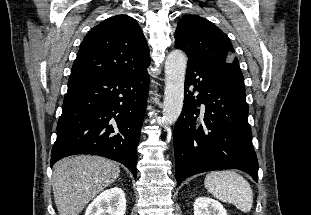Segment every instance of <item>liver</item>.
Returning a JSON list of instances; mask_svg holds the SVG:
<instances>
[{"label": "liver", "mask_w": 311, "mask_h": 215, "mask_svg": "<svg viewBox=\"0 0 311 215\" xmlns=\"http://www.w3.org/2000/svg\"><path fill=\"white\" fill-rule=\"evenodd\" d=\"M119 174L115 162L100 156L78 155L57 162L52 185L59 215H78Z\"/></svg>", "instance_id": "1"}]
</instances>
